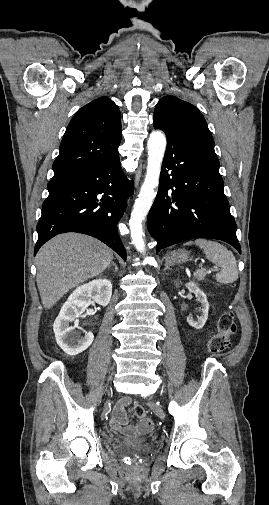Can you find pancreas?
<instances>
[{"label":"pancreas","mask_w":269,"mask_h":505,"mask_svg":"<svg viewBox=\"0 0 269 505\" xmlns=\"http://www.w3.org/2000/svg\"><path fill=\"white\" fill-rule=\"evenodd\" d=\"M209 274V272L205 269H200V270H197L195 273H194V278L198 281H202L204 280L205 276Z\"/></svg>","instance_id":"1"}]
</instances>
